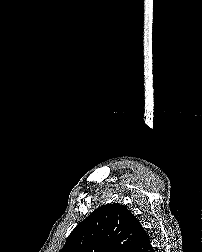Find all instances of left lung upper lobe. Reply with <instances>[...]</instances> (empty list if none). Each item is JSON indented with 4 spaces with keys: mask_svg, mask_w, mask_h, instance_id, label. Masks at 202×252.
Here are the masks:
<instances>
[{
    "mask_svg": "<svg viewBox=\"0 0 202 252\" xmlns=\"http://www.w3.org/2000/svg\"><path fill=\"white\" fill-rule=\"evenodd\" d=\"M141 223L120 204H106L80 222L60 252H134Z\"/></svg>",
    "mask_w": 202,
    "mask_h": 252,
    "instance_id": "5c2ea615",
    "label": "left lung upper lobe"
}]
</instances>
